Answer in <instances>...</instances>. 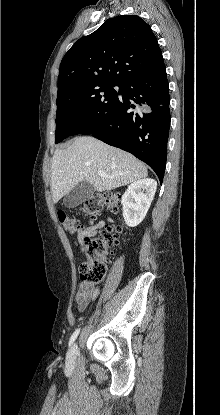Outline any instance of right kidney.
I'll return each instance as SVG.
<instances>
[{
    "label": "right kidney",
    "instance_id": "ca27d5eb",
    "mask_svg": "<svg viewBox=\"0 0 220 415\" xmlns=\"http://www.w3.org/2000/svg\"><path fill=\"white\" fill-rule=\"evenodd\" d=\"M157 188L153 179H140L130 184L122 196L123 218L129 227L142 222L151 205Z\"/></svg>",
    "mask_w": 220,
    "mask_h": 415
}]
</instances>
